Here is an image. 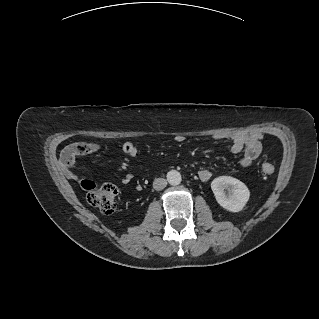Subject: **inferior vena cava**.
<instances>
[{
	"label": "inferior vena cava",
	"instance_id": "obj_1",
	"mask_svg": "<svg viewBox=\"0 0 319 319\" xmlns=\"http://www.w3.org/2000/svg\"><path fill=\"white\" fill-rule=\"evenodd\" d=\"M167 186V181L163 178H157L153 183V188L156 191H160Z\"/></svg>",
	"mask_w": 319,
	"mask_h": 319
}]
</instances>
